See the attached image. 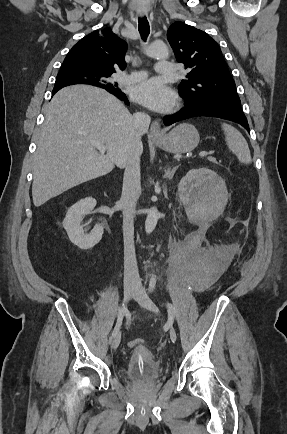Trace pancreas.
<instances>
[{
  "mask_svg": "<svg viewBox=\"0 0 287 434\" xmlns=\"http://www.w3.org/2000/svg\"><path fill=\"white\" fill-rule=\"evenodd\" d=\"M208 160H209L210 162L217 163L216 159L213 158V157L208 158Z\"/></svg>",
  "mask_w": 287,
  "mask_h": 434,
  "instance_id": "1",
  "label": "pancreas"
}]
</instances>
